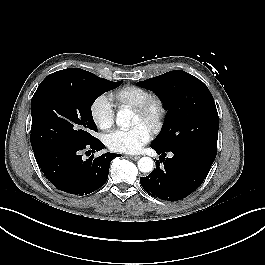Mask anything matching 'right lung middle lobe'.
<instances>
[{"mask_svg": "<svg viewBox=\"0 0 265 265\" xmlns=\"http://www.w3.org/2000/svg\"><path fill=\"white\" fill-rule=\"evenodd\" d=\"M79 68L48 75L31 100L33 151L56 146H83L94 142L97 127L90 106L104 92L118 87Z\"/></svg>", "mask_w": 265, "mask_h": 265, "instance_id": "right-lung-middle-lobe-1", "label": "right lung middle lobe"}]
</instances>
